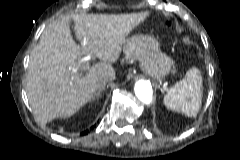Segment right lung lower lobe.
Instances as JSON below:
<instances>
[{
  "label": "right lung lower lobe",
  "instance_id": "98d812e1",
  "mask_svg": "<svg viewBox=\"0 0 240 160\" xmlns=\"http://www.w3.org/2000/svg\"><path fill=\"white\" fill-rule=\"evenodd\" d=\"M87 133H88V131H85V132L82 133V135L87 134Z\"/></svg>",
  "mask_w": 240,
  "mask_h": 160
}]
</instances>
